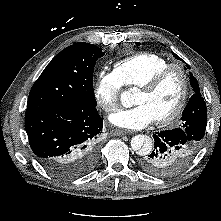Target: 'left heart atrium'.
I'll list each match as a JSON object with an SVG mask.
<instances>
[{
    "label": "left heart atrium",
    "instance_id": "obj_1",
    "mask_svg": "<svg viewBox=\"0 0 221 221\" xmlns=\"http://www.w3.org/2000/svg\"><path fill=\"white\" fill-rule=\"evenodd\" d=\"M110 122L120 128L142 129L152 123L155 118L145 105H136L129 109H121L109 116Z\"/></svg>",
    "mask_w": 221,
    "mask_h": 221
}]
</instances>
